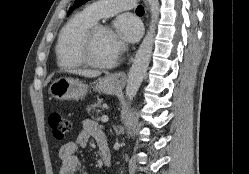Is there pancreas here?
<instances>
[{
  "mask_svg": "<svg viewBox=\"0 0 249 174\" xmlns=\"http://www.w3.org/2000/svg\"><path fill=\"white\" fill-rule=\"evenodd\" d=\"M104 108V105L102 104V101L99 100L87 107V111L90 112H101V109Z\"/></svg>",
  "mask_w": 249,
  "mask_h": 174,
  "instance_id": "cf45deb5",
  "label": "pancreas"
}]
</instances>
